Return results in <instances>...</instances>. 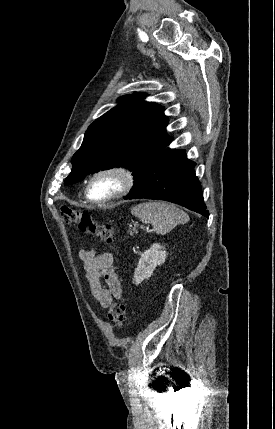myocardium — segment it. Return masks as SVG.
Masks as SVG:
<instances>
[{
  "instance_id": "myocardium-1",
  "label": "myocardium",
  "mask_w": 275,
  "mask_h": 429,
  "mask_svg": "<svg viewBox=\"0 0 275 429\" xmlns=\"http://www.w3.org/2000/svg\"><path fill=\"white\" fill-rule=\"evenodd\" d=\"M103 175H112L119 181L118 188L109 196L101 199H94L90 195V188L93 181ZM134 174L130 168L122 164H111L94 171L89 177L85 186V197L95 204H106L128 194L134 185Z\"/></svg>"
}]
</instances>
